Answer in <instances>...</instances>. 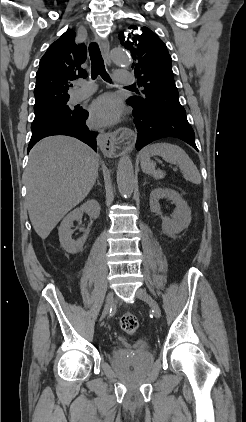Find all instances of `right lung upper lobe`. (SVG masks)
Here are the masks:
<instances>
[{
    "instance_id": "cb5924a9",
    "label": "right lung upper lobe",
    "mask_w": 246,
    "mask_h": 422,
    "mask_svg": "<svg viewBox=\"0 0 246 422\" xmlns=\"http://www.w3.org/2000/svg\"><path fill=\"white\" fill-rule=\"evenodd\" d=\"M75 32L67 30L52 43L40 60L34 89V109L69 100L71 81L87 76L80 66L87 57L84 44L75 43Z\"/></svg>"
}]
</instances>
